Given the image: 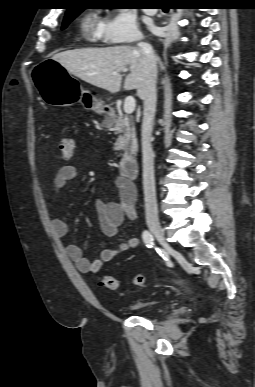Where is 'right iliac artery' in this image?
Instances as JSON below:
<instances>
[{
    "mask_svg": "<svg viewBox=\"0 0 255 387\" xmlns=\"http://www.w3.org/2000/svg\"><path fill=\"white\" fill-rule=\"evenodd\" d=\"M142 238H143L145 245L148 248L153 247L154 237L149 231L144 230V232L142 233Z\"/></svg>",
    "mask_w": 255,
    "mask_h": 387,
    "instance_id": "obj_1",
    "label": "right iliac artery"
}]
</instances>
